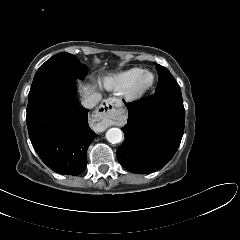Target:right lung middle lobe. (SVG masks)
I'll return each instance as SVG.
<instances>
[{"mask_svg":"<svg viewBox=\"0 0 240 240\" xmlns=\"http://www.w3.org/2000/svg\"><path fill=\"white\" fill-rule=\"evenodd\" d=\"M87 70V66L80 63L74 55L67 52L56 54L38 69L28 96L33 95L49 82L82 79Z\"/></svg>","mask_w":240,"mask_h":240,"instance_id":"dd1d6c3e","label":"right lung middle lobe"}]
</instances>
